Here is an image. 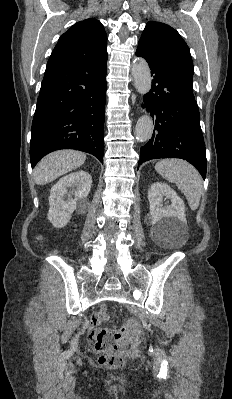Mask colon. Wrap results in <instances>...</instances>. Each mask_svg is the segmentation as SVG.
<instances>
[{"label": "colon", "mask_w": 232, "mask_h": 399, "mask_svg": "<svg viewBox=\"0 0 232 399\" xmlns=\"http://www.w3.org/2000/svg\"><path fill=\"white\" fill-rule=\"evenodd\" d=\"M142 328L138 317H129L127 326H98L92 331L96 353H101V365L113 368L114 365H126L127 359L114 353H134L136 337Z\"/></svg>", "instance_id": "1"}]
</instances>
